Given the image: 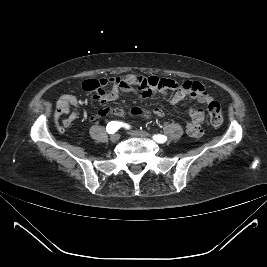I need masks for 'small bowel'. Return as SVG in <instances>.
I'll return each mask as SVG.
<instances>
[{"label":"small bowel","mask_w":267,"mask_h":267,"mask_svg":"<svg viewBox=\"0 0 267 267\" xmlns=\"http://www.w3.org/2000/svg\"><path fill=\"white\" fill-rule=\"evenodd\" d=\"M112 86L107 92L106 87ZM83 89L90 92L93 99L102 104L113 102L118 99L120 92H133L139 98H148L154 93L166 94L168 91H175L171 99L173 105L180 103L185 97L190 96L199 103L208 104L212 101V97L205 90L204 85L199 81H185L179 83L172 79L158 78L155 76H142L127 74L118 77L89 79L83 85ZM78 99L74 95H63L56 103L55 117L66 115L63 125L68 127L78 117ZM109 112L108 109H101L91 116V120L105 116ZM153 113L158 117H163L164 112L156 108ZM205 121V113L202 109L192 107L189 110V119L185 124L187 133L199 138L203 135L202 124Z\"/></svg>","instance_id":"obj_1"}]
</instances>
